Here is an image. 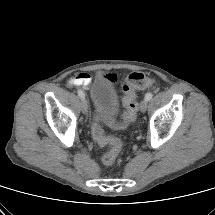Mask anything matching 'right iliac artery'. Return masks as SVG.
I'll return each instance as SVG.
<instances>
[{
	"instance_id": "right-iliac-artery-1",
	"label": "right iliac artery",
	"mask_w": 215,
	"mask_h": 215,
	"mask_svg": "<svg viewBox=\"0 0 215 215\" xmlns=\"http://www.w3.org/2000/svg\"><path fill=\"white\" fill-rule=\"evenodd\" d=\"M78 96H79L81 99H84V98H85V95H84V93H83L81 90H78Z\"/></svg>"
}]
</instances>
